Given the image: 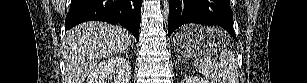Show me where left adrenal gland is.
<instances>
[{"instance_id": "obj_1", "label": "left adrenal gland", "mask_w": 307, "mask_h": 83, "mask_svg": "<svg viewBox=\"0 0 307 83\" xmlns=\"http://www.w3.org/2000/svg\"><path fill=\"white\" fill-rule=\"evenodd\" d=\"M178 57V63L181 61V58H180V56H177Z\"/></svg>"}]
</instances>
